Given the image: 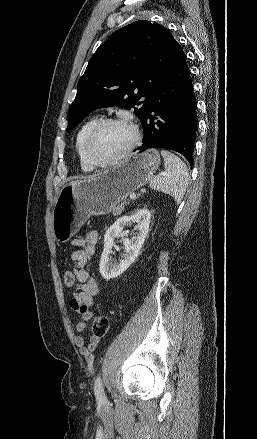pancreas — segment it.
Instances as JSON below:
<instances>
[{"instance_id": "cf45deb5", "label": "pancreas", "mask_w": 257, "mask_h": 439, "mask_svg": "<svg viewBox=\"0 0 257 439\" xmlns=\"http://www.w3.org/2000/svg\"><path fill=\"white\" fill-rule=\"evenodd\" d=\"M128 204H130V202L129 201H124V202H122L121 204H118L117 206H115L113 209H112V214L114 215V216H118V215H120L121 213H122V211L124 210V208L128 205Z\"/></svg>"}]
</instances>
